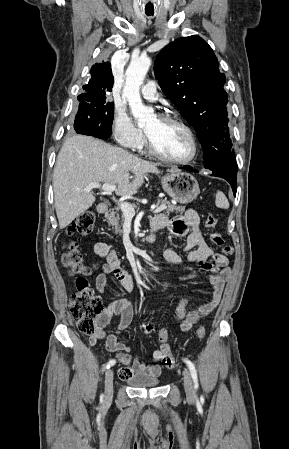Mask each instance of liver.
Listing matches in <instances>:
<instances>
[{"instance_id": "1", "label": "liver", "mask_w": 289, "mask_h": 449, "mask_svg": "<svg viewBox=\"0 0 289 449\" xmlns=\"http://www.w3.org/2000/svg\"><path fill=\"white\" fill-rule=\"evenodd\" d=\"M154 163L89 136L74 135L63 144L54 167L53 189L60 229L95 202L91 183L117 185L116 194L132 196L143 184L146 173H160ZM133 174V175H131Z\"/></svg>"}]
</instances>
